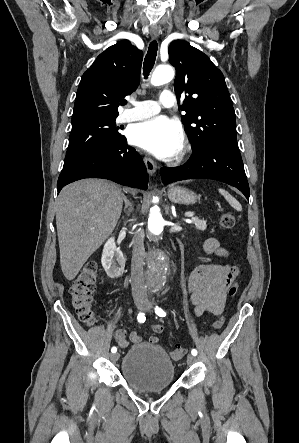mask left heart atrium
Masks as SVG:
<instances>
[{"label": "left heart atrium", "instance_id": "left-heart-atrium-1", "mask_svg": "<svg viewBox=\"0 0 299 443\" xmlns=\"http://www.w3.org/2000/svg\"><path fill=\"white\" fill-rule=\"evenodd\" d=\"M130 142L163 159L176 157L182 150L184 135L179 122L157 116L135 125L129 133Z\"/></svg>", "mask_w": 299, "mask_h": 443}]
</instances>
